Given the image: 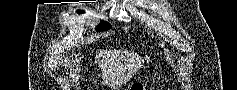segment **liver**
<instances>
[{
    "mask_svg": "<svg viewBox=\"0 0 237 90\" xmlns=\"http://www.w3.org/2000/svg\"><path fill=\"white\" fill-rule=\"evenodd\" d=\"M98 54L99 56H102V58H104V60H101V62H103V64H108L109 56L107 52H102V50H99ZM73 72H77V70H73ZM74 80H77V82H79V80H81V82H84L85 78L84 76H82V78H74Z\"/></svg>",
    "mask_w": 237,
    "mask_h": 90,
    "instance_id": "liver-1",
    "label": "liver"
}]
</instances>
